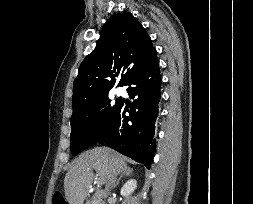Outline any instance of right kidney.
<instances>
[{
  "mask_svg": "<svg viewBox=\"0 0 253 204\" xmlns=\"http://www.w3.org/2000/svg\"><path fill=\"white\" fill-rule=\"evenodd\" d=\"M137 187V181L135 179L128 180L121 188V195L128 197Z\"/></svg>",
  "mask_w": 253,
  "mask_h": 204,
  "instance_id": "right-kidney-1",
  "label": "right kidney"
}]
</instances>
